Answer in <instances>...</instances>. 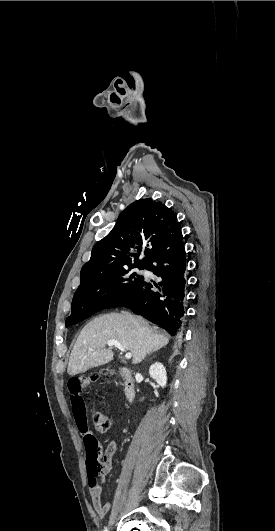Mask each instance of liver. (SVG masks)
Instances as JSON below:
<instances>
[{
  "label": "liver",
  "mask_w": 275,
  "mask_h": 531,
  "mask_svg": "<svg viewBox=\"0 0 275 531\" xmlns=\"http://www.w3.org/2000/svg\"><path fill=\"white\" fill-rule=\"evenodd\" d=\"M129 317L132 315L124 311L109 313L85 325L71 351L68 375H79L92 367L113 361V351L106 349L107 341L121 343L125 351H130L134 365L141 363L148 353L168 345L169 335L153 333L142 317H133L136 323H132Z\"/></svg>",
  "instance_id": "obj_1"
}]
</instances>
